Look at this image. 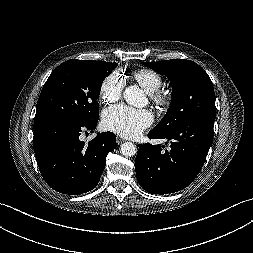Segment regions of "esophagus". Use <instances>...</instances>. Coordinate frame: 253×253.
<instances>
[{
  "label": "esophagus",
  "instance_id": "esophagus-1",
  "mask_svg": "<svg viewBox=\"0 0 253 253\" xmlns=\"http://www.w3.org/2000/svg\"><path fill=\"white\" fill-rule=\"evenodd\" d=\"M116 141H117V144H121L124 142V139L120 138V137H117L116 138Z\"/></svg>",
  "mask_w": 253,
  "mask_h": 253
}]
</instances>
